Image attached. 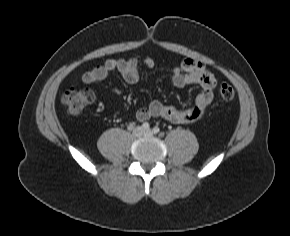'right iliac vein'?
<instances>
[{
  "mask_svg": "<svg viewBox=\"0 0 290 236\" xmlns=\"http://www.w3.org/2000/svg\"><path fill=\"white\" fill-rule=\"evenodd\" d=\"M143 135V128L142 127H137L133 131V136L134 137H140Z\"/></svg>",
  "mask_w": 290,
  "mask_h": 236,
  "instance_id": "63e3f726",
  "label": "right iliac vein"
}]
</instances>
